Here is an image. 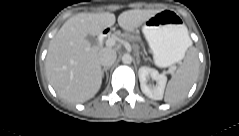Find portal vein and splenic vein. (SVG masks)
Returning <instances> with one entry per match:
<instances>
[{"instance_id":"1","label":"portal vein and splenic vein","mask_w":239,"mask_h":136,"mask_svg":"<svg viewBox=\"0 0 239 136\" xmlns=\"http://www.w3.org/2000/svg\"><path fill=\"white\" fill-rule=\"evenodd\" d=\"M105 44H106V46H108V47H112V46H114V45L116 44V39L113 38V37H110V38H108V39L106 40Z\"/></svg>"}]
</instances>
